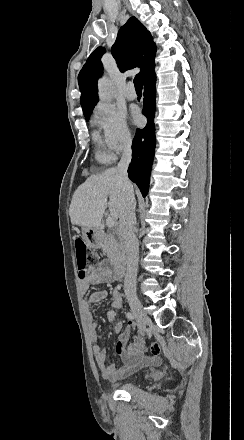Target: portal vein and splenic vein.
Wrapping results in <instances>:
<instances>
[{"label": "portal vein and splenic vein", "mask_w": 244, "mask_h": 440, "mask_svg": "<svg viewBox=\"0 0 244 440\" xmlns=\"http://www.w3.org/2000/svg\"><path fill=\"white\" fill-rule=\"evenodd\" d=\"M115 222H116V218H107L106 226H108V228H113Z\"/></svg>", "instance_id": "portal-vein-and-splenic-vein-1"}]
</instances>
